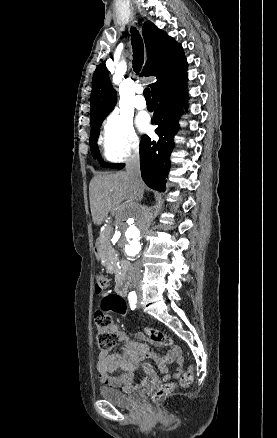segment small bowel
Segmentation results:
<instances>
[{
  "label": "small bowel",
  "mask_w": 277,
  "mask_h": 438,
  "mask_svg": "<svg viewBox=\"0 0 277 438\" xmlns=\"http://www.w3.org/2000/svg\"><path fill=\"white\" fill-rule=\"evenodd\" d=\"M110 331L117 335L118 341L121 344L120 351L114 354L101 352L99 354L96 368L100 381L105 384L121 388L125 391L132 389L134 371L139 363L145 358L154 359L160 364L161 370L169 375V365L177 364L176 371L173 374L174 378H178L185 370L181 350L174 346L167 354L161 357L153 354L147 345H144L136 339H141L138 334L136 339L130 338L117 324L110 326ZM157 349L163 348L162 342L156 343ZM144 370L149 371L152 362L149 359L143 362Z\"/></svg>",
  "instance_id": "c3829d8e"
}]
</instances>
